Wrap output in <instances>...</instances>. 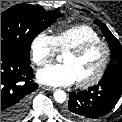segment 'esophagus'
Segmentation results:
<instances>
[{"label": "esophagus", "mask_w": 122, "mask_h": 122, "mask_svg": "<svg viewBox=\"0 0 122 122\" xmlns=\"http://www.w3.org/2000/svg\"><path fill=\"white\" fill-rule=\"evenodd\" d=\"M41 88H42L43 90H47V91H55V90H56L55 88L49 87V86H41Z\"/></svg>", "instance_id": "1"}]
</instances>
